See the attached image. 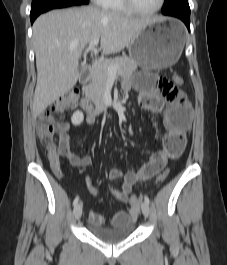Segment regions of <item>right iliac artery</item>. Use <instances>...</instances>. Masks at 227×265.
<instances>
[{
    "instance_id": "right-iliac-artery-1",
    "label": "right iliac artery",
    "mask_w": 227,
    "mask_h": 265,
    "mask_svg": "<svg viewBox=\"0 0 227 265\" xmlns=\"http://www.w3.org/2000/svg\"><path fill=\"white\" fill-rule=\"evenodd\" d=\"M78 201H79V196H77V197L74 199V201H73V205L76 206L77 203H78Z\"/></svg>"
}]
</instances>
